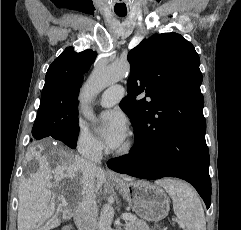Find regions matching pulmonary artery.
Wrapping results in <instances>:
<instances>
[{
    "instance_id": "pulmonary-artery-1",
    "label": "pulmonary artery",
    "mask_w": 241,
    "mask_h": 230,
    "mask_svg": "<svg viewBox=\"0 0 241 230\" xmlns=\"http://www.w3.org/2000/svg\"><path fill=\"white\" fill-rule=\"evenodd\" d=\"M125 95V89L122 86H114L108 88L102 94L101 98L99 99V103L103 107H111L117 101L122 99Z\"/></svg>"
}]
</instances>
